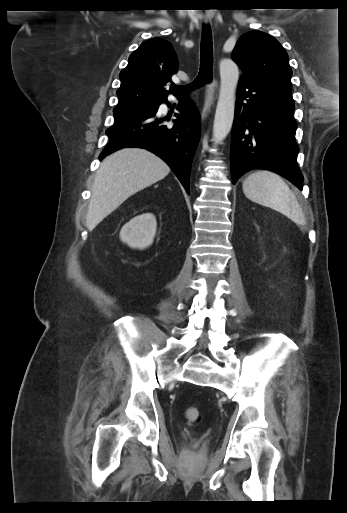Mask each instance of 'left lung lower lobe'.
Returning <instances> with one entry per match:
<instances>
[{
  "mask_svg": "<svg viewBox=\"0 0 347 513\" xmlns=\"http://www.w3.org/2000/svg\"><path fill=\"white\" fill-rule=\"evenodd\" d=\"M291 83L240 79L232 129L233 183L246 171L263 168L302 190Z\"/></svg>",
  "mask_w": 347,
  "mask_h": 513,
  "instance_id": "0a47b994",
  "label": "left lung lower lobe"
}]
</instances>
